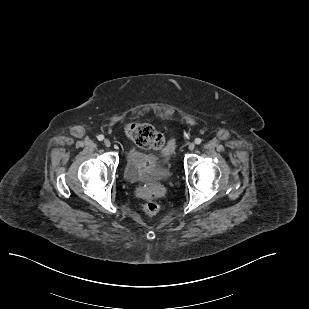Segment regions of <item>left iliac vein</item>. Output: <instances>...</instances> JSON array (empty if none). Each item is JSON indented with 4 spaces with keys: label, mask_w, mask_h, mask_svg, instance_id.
I'll return each mask as SVG.
<instances>
[{
    "label": "left iliac vein",
    "mask_w": 309,
    "mask_h": 309,
    "mask_svg": "<svg viewBox=\"0 0 309 309\" xmlns=\"http://www.w3.org/2000/svg\"><path fill=\"white\" fill-rule=\"evenodd\" d=\"M188 149L191 150V151L194 150L195 149V144L193 142L189 143Z\"/></svg>",
    "instance_id": "obj_1"
}]
</instances>
